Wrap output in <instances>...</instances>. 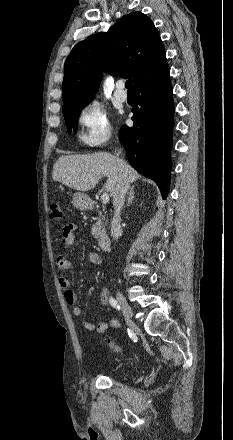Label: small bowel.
Segmentation results:
<instances>
[{"label": "small bowel", "instance_id": "c3829d8e", "mask_svg": "<svg viewBox=\"0 0 233 440\" xmlns=\"http://www.w3.org/2000/svg\"><path fill=\"white\" fill-rule=\"evenodd\" d=\"M78 226L75 223H70L63 228L61 235V253L56 258V263L59 269L64 271H72L74 269L73 263L67 258L65 252L69 250L76 241ZM89 259L97 264H102V259L99 254L91 252ZM59 286L64 290L65 302L72 307L74 316L81 317L83 315L82 308L78 305V296L70 288V279L67 276H60L58 278ZM100 304L102 306L108 305V290L105 287L100 289ZM120 326V322L117 318L111 319L109 322L94 323L92 321H84L83 327L87 331L103 333L109 328L116 329Z\"/></svg>", "mask_w": 233, "mask_h": 440}]
</instances>
